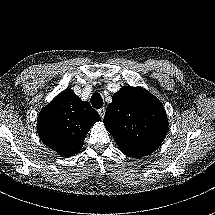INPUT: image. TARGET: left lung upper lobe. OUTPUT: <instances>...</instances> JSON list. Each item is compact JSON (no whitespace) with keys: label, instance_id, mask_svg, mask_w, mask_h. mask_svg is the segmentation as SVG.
I'll use <instances>...</instances> for the list:
<instances>
[{"label":"left lung upper lobe","instance_id":"1","mask_svg":"<svg viewBox=\"0 0 215 215\" xmlns=\"http://www.w3.org/2000/svg\"><path fill=\"white\" fill-rule=\"evenodd\" d=\"M103 123L120 151L133 158L157 150L168 132L162 103L141 87H122L116 92Z\"/></svg>","mask_w":215,"mask_h":215}]
</instances>
